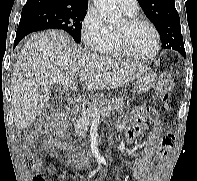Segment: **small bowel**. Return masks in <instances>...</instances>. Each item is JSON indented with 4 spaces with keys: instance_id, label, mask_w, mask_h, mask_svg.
Returning a JSON list of instances; mask_svg holds the SVG:
<instances>
[{
    "instance_id": "small-bowel-1",
    "label": "small bowel",
    "mask_w": 197,
    "mask_h": 181,
    "mask_svg": "<svg viewBox=\"0 0 197 181\" xmlns=\"http://www.w3.org/2000/svg\"><path fill=\"white\" fill-rule=\"evenodd\" d=\"M147 119L151 124L150 133L143 143L137 158L131 163L129 171L136 181H160L162 162L172 147L173 138L171 135H162L163 124L158 119L156 111L147 106H141L134 110L130 117H121L117 126L120 130L125 131L126 140L132 142ZM30 138L32 140L36 139V135L33 134ZM45 147L50 151L60 149L70 152L73 150L70 144L52 139L45 142ZM29 158L32 169L38 170L42 165L41 159L34 153H31ZM73 162L80 169H90L92 167L86 155L74 157ZM34 181L46 180L43 176L37 175Z\"/></svg>"
}]
</instances>
